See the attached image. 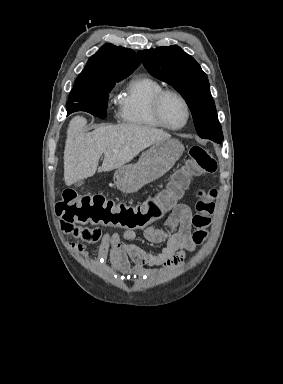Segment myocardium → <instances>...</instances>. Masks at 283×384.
<instances>
[{
	"label": "myocardium",
	"instance_id": "obj_1",
	"mask_svg": "<svg viewBox=\"0 0 283 384\" xmlns=\"http://www.w3.org/2000/svg\"><path fill=\"white\" fill-rule=\"evenodd\" d=\"M168 95L176 96L182 102V104L184 106V109L186 112V118H185L184 123L181 126H178V127L168 126L162 119L161 106H162L164 99ZM150 114H151V117L154 120V122L160 128H163V129L169 130V131H179V130H182L183 128H185L187 126V124L189 123L190 117H191V110H190V106H189L186 98L181 93H179L175 90H171V89H164L160 93H158L155 96V98L153 99L151 106H150Z\"/></svg>",
	"mask_w": 283,
	"mask_h": 384
}]
</instances>
